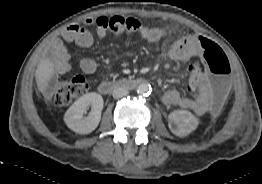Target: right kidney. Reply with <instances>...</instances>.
Listing matches in <instances>:
<instances>
[{
    "mask_svg": "<svg viewBox=\"0 0 262 184\" xmlns=\"http://www.w3.org/2000/svg\"><path fill=\"white\" fill-rule=\"evenodd\" d=\"M103 98L97 93H88L76 100L66 111L64 121L68 128L79 134H88L95 130L101 119L103 109ZM91 111L87 117V109Z\"/></svg>",
    "mask_w": 262,
    "mask_h": 184,
    "instance_id": "1",
    "label": "right kidney"
}]
</instances>
